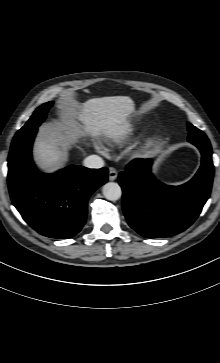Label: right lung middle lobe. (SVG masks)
Listing matches in <instances>:
<instances>
[{
  "label": "right lung middle lobe",
  "mask_w": 220,
  "mask_h": 363,
  "mask_svg": "<svg viewBox=\"0 0 220 363\" xmlns=\"http://www.w3.org/2000/svg\"><path fill=\"white\" fill-rule=\"evenodd\" d=\"M53 102H47L38 107L28 122L16 133L13 140H17L37 128L46 118V114Z\"/></svg>",
  "instance_id": "right-lung-middle-lobe-1"
}]
</instances>
